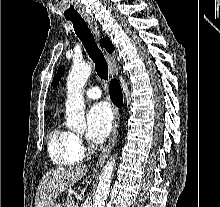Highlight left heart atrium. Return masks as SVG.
<instances>
[{"mask_svg": "<svg viewBox=\"0 0 220 207\" xmlns=\"http://www.w3.org/2000/svg\"><path fill=\"white\" fill-rule=\"evenodd\" d=\"M113 122V112L107 102L94 104L87 114L88 138L99 143L109 135Z\"/></svg>", "mask_w": 220, "mask_h": 207, "instance_id": "left-heart-atrium-1", "label": "left heart atrium"}]
</instances>
